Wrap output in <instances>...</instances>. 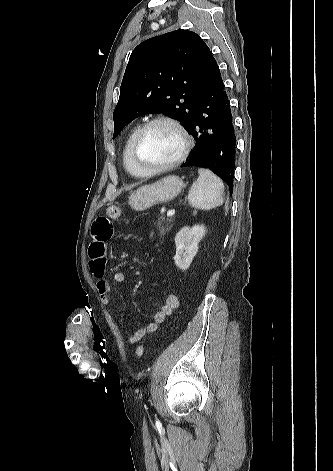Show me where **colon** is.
Wrapping results in <instances>:
<instances>
[{
    "label": "colon",
    "instance_id": "1",
    "mask_svg": "<svg viewBox=\"0 0 333 471\" xmlns=\"http://www.w3.org/2000/svg\"><path fill=\"white\" fill-rule=\"evenodd\" d=\"M106 214H107L108 217L116 219V218H119L122 215V210L118 206H109V207L106 208ZM143 353H144V346L139 345L136 348V356L141 357L143 355Z\"/></svg>",
    "mask_w": 333,
    "mask_h": 471
}]
</instances>
